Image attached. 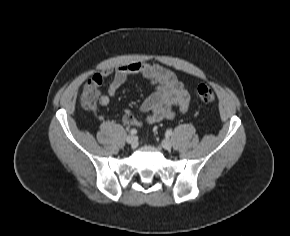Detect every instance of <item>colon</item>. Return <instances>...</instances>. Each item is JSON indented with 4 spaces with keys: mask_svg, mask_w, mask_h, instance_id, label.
<instances>
[{
    "mask_svg": "<svg viewBox=\"0 0 290 236\" xmlns=\"http://www.w3.org/2000/svg\"><path fill=\"white\" fill-rule=\"evenodd\" d=\"M98 84L93 81H88L81 92V102L88 109H94L99 100ZM199 100L204 104L212 103L215 100V93L211 87L200 85L197 88Z\"/></svg>",
    "mask_w": 290,
    "mask_h": 236,
    "instance_id": "colon-1",
    "label": "colon"
}]
</instances>
